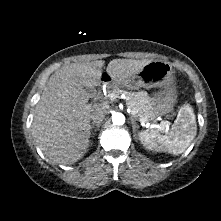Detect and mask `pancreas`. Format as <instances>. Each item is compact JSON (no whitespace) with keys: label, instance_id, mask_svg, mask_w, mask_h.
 <instances>
[{"label":"pancreas","instance_id":"1","mask_svg":"<svg viewBox=\"0 0 221 221\" xmlns=\"http://www.w3.org/2000/svg\"><path fill=\"white\" fill-rule=\"evenodd\" d=\"M113 93L116 96L120 94L126 95L127 107L131 110L133 115L139 118L140 121L148 122L156 117L152 110V101L146 92H126L114 89ZM161 129L163 130L164 126H162Z\"/></svg>","mask_w":221,"mask_h":221}]
</instances>
